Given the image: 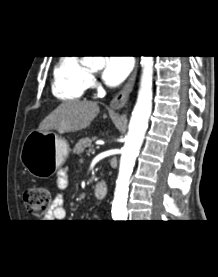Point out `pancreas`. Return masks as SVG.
Segmentation results:
<instances>
[{
    "mask_svg": "<svg viewBox=\"0 0 218 277\" xmlns=\"http://www.w3.org/2000/svg\"><path fill=\"white\" fill-rule=\"evenodd\" d=\"M92 141H93L92 138H83V139H80L76 143V145H75V147L73 149V153L74 154H78V155L83 153L86 150V148L91 147Z\"/></svg>",
    "mask_w": 218,
    "mask_h": 277,
    "instance_id": "cf45deb5",
    "label": "pancreas"
}]
</instances>
